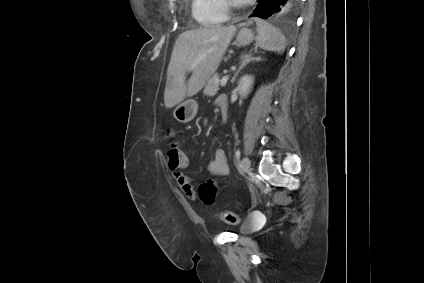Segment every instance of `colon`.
Returning <instances> with one entry per match:
<instances>
[{"label": "colon", "mask_w": 424, "mask_h": 283, "mask_svg": "<svg viewBox=\"0 0 424 283\" xmlns=\"http://www.w3.org/2000/svg\"><path fill=\"white\" fill-rule=\"evenodd\" d=\"M171 135V133H169ZM168 164L171 168H178L185 163V155L183 151L174 143L168 149ZM217 193V186L214 180H208L199 186V197L206 203L211 204L215 200ZM220 218L225 223L235 225L239 222V217L232 211H222Z\"/></svg>", "instance_id": "colon-1"}]
</instances>
